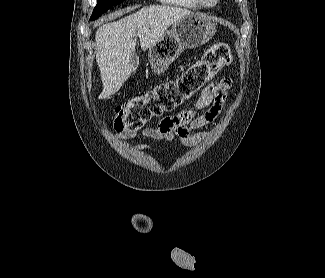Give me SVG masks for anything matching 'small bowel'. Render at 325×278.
I'll return each mask as SVG.
<instances>
[{
  "mask_svg": "<svg viewBox=\"0 0 325 278\" xmlns=\"http://www.w3.org/2000/svg\"><path fill=\"white\" fill-rule=\"evenodd\" d=\"M231 86L232 79L229 77L211 82L202 90L192 108L162 119L154 128L126 130L121 132L119 137L127 139L140 135L165 142L177 139L185 147L198 145L207 137V133L194 131L212 123L220 115ZM133 149L146 152L151 146L138 144Z\"/></svg>",
  "mask_w": 325,
  "mask_h": 278,
  "instance_id": "obj_1",
  "label": "small bowel"
}]
</instances>
